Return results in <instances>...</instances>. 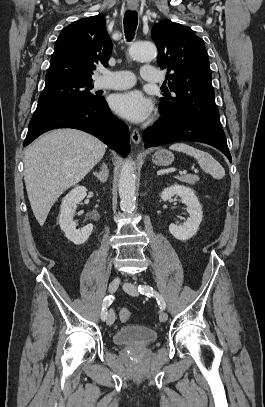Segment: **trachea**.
<instances>
[{
    "instance_id": "1",
    "label": "trachea",
    "mask_w": 265,
    "mask_h": 407,
    "mask_svg": "<svg viewBox=\"0 0 265 407\" xmlns=\"http://www.w3.org/2000/svg\"><path fill=\"white\" fill-rule=\"evenodd\" d=\"M124 32L128 41L132 40L135 35L138 24V14L136 11L127 10L124 15Z\"/></svg>"
}]
</instances>
